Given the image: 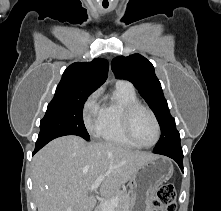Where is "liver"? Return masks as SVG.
<instances>
[{
    "instance_id": "liver-1",
    "label": "liver",
    "mask_w": 221,
    "mask_h": 211,
    "mask_svg": "<svg viewBox=\"0 0 221 211\" xmlns=\"http://www.w3.org/2000/svg\"><path fill=\"white\" fill-rule=\"evenodd\" d=\"M107 142H86L78 136L57 138L32 161L33 191L38 211H92L88 189L96 179L102 196L113 194L132 178L139 164L153 158Z\"/></svg>"
}]
</instances>
